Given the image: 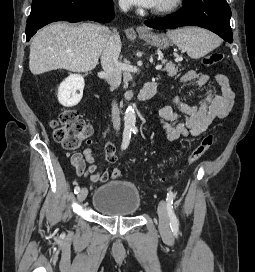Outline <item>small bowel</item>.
<instances>
[{"mask_svg":"<svg viewBox=\"0 0 255 272\" xmlns=\"http://www.w3.org/2000/svg\"><path fill=\"white\" fill-rule=\"evenodd\" d=\"M180 80L185 83L194 82L205 94L203 99L194 103H188L182 96H176L173 105L158 108L156 119L167 141L200 136L214 119L226 117L235 103L234 91L228 78L223 74L210 76L191 69L186 71ZM104 150L108 162L114 163L116 155L113 142L107 141ZM71 163L80 176L88 171L92 182H106L112 178L108 171H100L90 147L81 153L72 154Z\"/></svg>","mask_w":255,"mask_h":272,"instance_id":"1","label":"small bowel"}]
</instances>
